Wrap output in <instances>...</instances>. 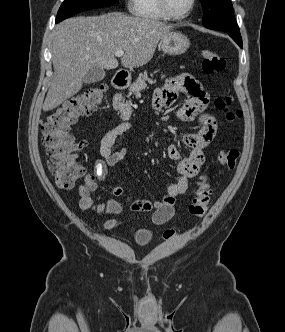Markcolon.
<instances>
[{
  "label": "colon",
  "mask_w": 285,
  "mask_h": 332,
  "mask_svg": "<svg viewBox=\"0 0 285 332\" xmlns=\"http://www.w3.org/2000/svg\"><path fill=\"white\" fill-rule=\"evenodd\" d=\"M202 70L206 74L222 72L225 60L210 49H202ZM107 87L105 84L94 85L81 94L65 101L56 108L42 124V144L49 157L48 167L55 178L56 184L62 189L75 185L85 175V168L77 159V152L82 147L71 133V126L82 116L95 111L101 104ZM217 109L224 112L230 122L241 117V112L231 107V99L223 93H218L214 100ZM240 157L238 148L221 151L217 160L226 169H233ZM210 185L206 175H202L193 192L189 212L196 217H203L208 210L210 202ZM175 230H166L164 237L173 238Z\"/></svg>",
  "instance_id": "1"
}]
</instances>
